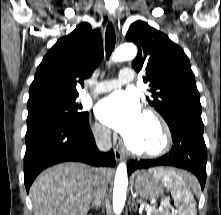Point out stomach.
<instances>
[{"label":"stomach","instance_id":"obj_1","mask_svg":"<svg viewBox=\"0 0 221 215\" xmlns=\"http://www.w3.org/2000/svg\"><path fill=\"white\" fill-rule=\"evenodd\" d=\"M163 169H150L148 171H138L134 174V186L136 191L147 199H156L163 195L166 187L158 172Z\"/></svg>","mask_w":221,"mask_h":215}]
</instances>
